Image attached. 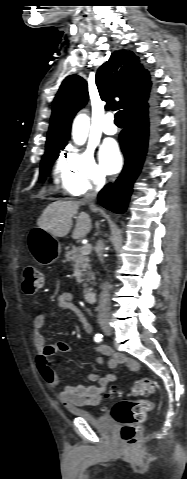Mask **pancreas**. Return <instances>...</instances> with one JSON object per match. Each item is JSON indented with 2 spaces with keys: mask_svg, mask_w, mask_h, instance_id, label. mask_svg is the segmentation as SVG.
Wrapping results in <instances>:
<instances>
[{
  "mask_svg": "<svg viewBox=\"0 0 187 479\" xmlns=\"http://www.w3.org/2000/svg\"><path fill=\"white\" fill-rule=\"evenodd\" d=\"M81 248L72 245L71 248L70 246L65 247V257L68 262H77L78 267L81 271V275L84 277L82 280L83 283V288H84V293L88 292V284L90 283L91 280L94 279V275L91 271V265H90V259L86 255H82L80 253Z\"/></svg>",
  "mask_w": 187,
  "mask_h": 479,
  "instance_id": "1",
  "label": "pancreas"
}]
</instances>
